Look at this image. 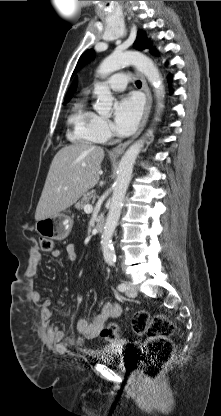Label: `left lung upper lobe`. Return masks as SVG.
Returning a JSON list of instances; mask_svg holds the SVG:
<instances>
[{
    "mask_svg": "<svg viewBox=\"0 0 221 416\" xmlns=\"http://www.w3.org/2000/svg\"><path fill=\"white\" fill-rule=\"evenodd\" d=\"M134 47L138 50H143V49L150 47V44L148 43L147 38L144 36L142 32H139L138 37L136 41L134 42ZM93 54H94L93 50H88L85 53H83L77 63L75 71L79 69L87 61H89L93 57Z\"/></svg>",
    "mask_w": 221,
    "mask_h": 416,
    "instance_id": "5c2ea615",
    "label": "left lung upper lobe"
}]
</instances>
